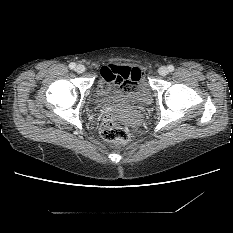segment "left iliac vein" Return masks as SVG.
Here are the masks:
<instances>
[{
  "mask_svg": "<svg viewBox=\"0 0 233 233\" xmlns=\"http://www.w3.org/2000/svg\"><path fill=\"white\" fill-rule=\"evenodd\" d=\"M158 73L159 75L161 76H166L168 74V69L165 67V66H161L159 69H158Z\"/></svg>",
  "mask_w": 233,
  "mask_h": 233,
  "instance_id": "4c4485c4",
  "label": "left iliac vein"
}]
</instances>
